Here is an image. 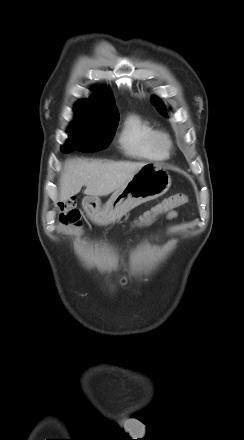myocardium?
Returning a JSON list of instances; mask_svg holds the SVG:
<instances>
[{
    "mask_svg": "<svg viewBox=\"0 0 244 440\" xmlns=\"http://www.w3.org/2000/svg\"><path fill=\"white\" fill-rule=\"evenodd\" d=\"M153 147L163 155L169 154L174 146L171 136L163 131H154L151 136Z\"/></svg>",
    "mask_w": 244,
    "mask_h": 440,
    "instance_id": "obj_1",
    "label": "myocardium"
}]
</instances>
